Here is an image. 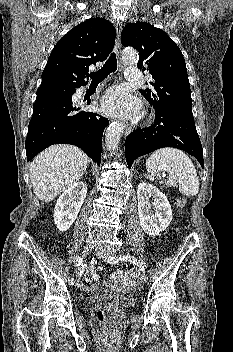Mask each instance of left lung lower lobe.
<instances>
[{"label": "left lung lower lobe", "mask_w": 233, "mask_h": 352, "mask_svg": "<svg viewBox=\"0 0 233 352\" xmlns=\"http://www.w3.org/2000/svg\"><path fill=\"white\" fill-rule=\"evenodd\" d=\"M154 124L131 132L125 141L128 167L142 155L162 147H174L194 156L204 167L203 149L193 118L155 109Z\"/></svg>", "instance_id": "1"}]
</instances>
